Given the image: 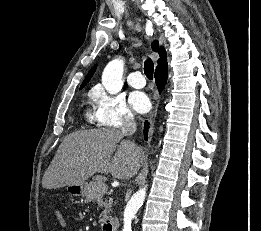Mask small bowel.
<instances>
[{
  "label": "small bowel",
  "mask_w": 261,
  "mask_h": 231,
  "mask_svg": "<svg viewBox=\"0 0 261 231\" xmlns=\"http://www.w3.org/2000/svg\"><path fill=\"white\" fill-rule=\"evenodd\" d=\"M52 220H53V222H55L59 227H62V228H63V227L66 226L65 219L63 218V216H62L60 213L53 215Z\"/></svg>",
  "instance_id": "obj_1"
}]
</instances>
